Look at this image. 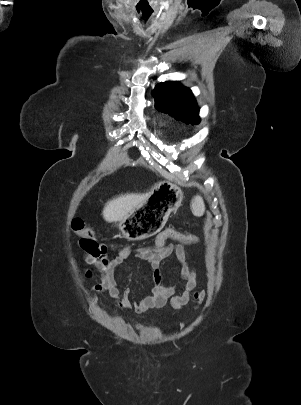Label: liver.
<instances>
[{
  "label": "liver",
  "instance_id": "6515ba94",
  "mask_svg": "<svg viewBox=\"0 0 301 405\" xmlns=\"http://www.w3.org/2000/svg\"><path fill=\"white\" fill-rule=\"evenodd\" d=\"M149 193L145 194H125L108 201L103 209L102 215L107 222H119L124 219L129 212L146 200Z\"/></svg>",
  "mask_w": 301,
  "mask_h": 405
}]
</instances>
